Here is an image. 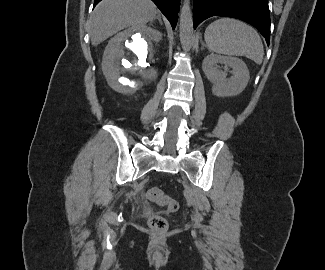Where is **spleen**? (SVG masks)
Listing matches in <instances>:
<instances>
[{
    "instance_id": "spleen-1",
    "label": "spleen",
    "mask_w": 325,
    "mask_h": 270,
    "mask_svg": "<svg viewBox=\"0 0 325 270\" xmlns=\"http://www.w3.org/2000/svg\"><path fill=\"white\" fill-rule=\"evenodd\" d=\"M210 51L228 56H245L261 64L264 48L258 32L250 25L232 18H221L205 31Z\"/></svg>"
}]
</instances>
